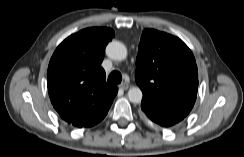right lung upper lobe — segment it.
<instances>
[{"mask_svg": "<svg viewBox=\"0 0 244 157\" xmlns=\"http://www.w3.org/2000/svg\"><path fill=\"white\" fill-rule=\"evenodd\" d=\"M114 35L110 28L81 30L66 38L51 57L47 71L50 100L60 117L74 127L99 123L118 92L106 83L100 66Z\"/></svg>", "mask_w": 244, "mask_h": 157, "instance_id": "right-lung-upper-lobe-1", "label": "right lung upper lobe"}]
</instances>
